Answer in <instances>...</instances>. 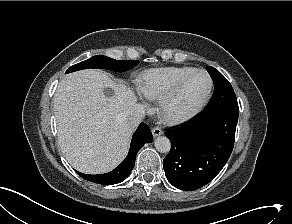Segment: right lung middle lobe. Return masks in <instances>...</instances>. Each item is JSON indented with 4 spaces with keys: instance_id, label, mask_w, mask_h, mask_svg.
I'll use <instances>...</instances> for the list:
<instances>
[{
    "instance_id": "1",
    "label": "right lung middle lobe",
    "mask_w": 292,
    "mask_h": 224,
    "mask_svg": "<svg viewBox=\"0 0 292 224\" xmlns=\"http://www.w3.org/2000/svg\"><path fill=\"white\" fill-rule=\"evenodd\" d=\"M138 63V60H115L107 56L97 55L71 66L66 73L89 68L109 69L116 72H124L135 67Z\"/></svg>"
}]
</instances>
